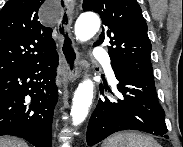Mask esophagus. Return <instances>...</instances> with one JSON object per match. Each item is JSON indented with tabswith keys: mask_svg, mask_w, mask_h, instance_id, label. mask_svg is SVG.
<instances>
[{
	"mask_svg": "<svg viewBox=\"0 0 183 147\" xmlns=\"http://www.w3.org/2000/svg\"><path fill=\"white\" fill-rule=\"evenodd\" d=\"M62 11L58 31L61 36V54L65 63L67 80L73 82L79 75L80 55L72 34V7L67 0L61 1Z\"/></svg>",
	"mask_w": 183,
	"mask_h": 147,
	"instance_id": "34e87169",
	"label": "esophagus"
}]
</instances>
